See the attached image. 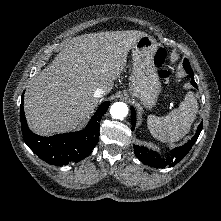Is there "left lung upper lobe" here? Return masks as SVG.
I'll list each match as a JSON object with an SVG mask.
<instances>
[{"label":"left lung upper lobe","instance_id":"obj_1","mask_svg":"<svg viewBox=\"0 0 221 221\" xmlns=\"http://www.w3.org/2000/svg\"><path fill=\"white\" fill-rule=\"evenodd\" d=\"M183 66H184V68L190 67L189 61L187 59L184 60Z\"/></svg>","mask_w":221,"mask_h":221}]
</instances>
